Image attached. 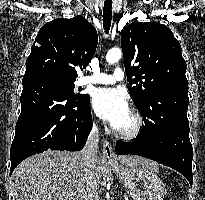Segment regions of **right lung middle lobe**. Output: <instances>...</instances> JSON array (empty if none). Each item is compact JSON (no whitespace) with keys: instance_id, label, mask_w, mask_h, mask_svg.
Returning a JSON list of instances; mask_svg holds the SVG:
<instances>
[{"instance_id":"right-lung-middle-lobe-1","label":"right lung middle lobe","mask_w":205,"mask_h":200,"mask_svg":"<svg viewBox=\"0 0 205 200\" xmlns=\"http://www.w3.org/2000/svg\"><path fill=\"white\" fill-rule=\"evenodd\" d=\"M40 78H44V79H48L54 82L59 83L61 86H63L73 97L76 98H81V99H85L88 98L89 95L88 94H75L74 93V82L76 81L75 79H69L66 77H62V76H58V75H42V76H38Z\"/></svg>"}]
</instances>
